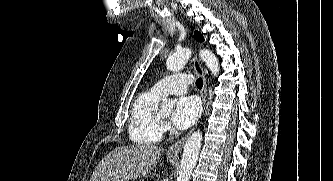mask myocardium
I'll list each match as a JSON object with an SVG mask.
<instances>
[{
    "mask_svg": "<svg viewBox=\"0 0 333 181\" xmlns=\"http://www.w3.org/2000/svg\"><path fill=\"white\" fill-rule=\"evenodd\" d=\"M158 117H159L160 120H164V118H162L159 113H158Z\"/></svg>",
    "mask_w": 333,
    "mask_h": 181,
    "instance_id": "f54148a6",
    "label": "myocardium"
}]
</instances>
